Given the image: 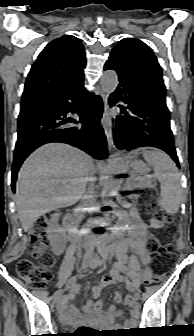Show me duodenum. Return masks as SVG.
I'll return each instance as SVG.
<instances>
[{"mask_svg": "<svg viewBox=\"0 0 194 336\" xmlns=\"http://www.w3.org/2000/svg\"><path fill=\"white\" fill-rule=\"evenodd\" d=\"M64 226L67 230L69 231H73L75 229V219L73 217L72 214H68L65 219H64ZM72 236H75V234H73ZM105 255L103 253H100L99 255V259L100 260H104L105 259ZM97 260L96 259H93V262H96Z\"/></svg>", "mask_w": 194, "mask_h": 336, "instance_id": "1", "label": "duodenum"}]
</instances>
